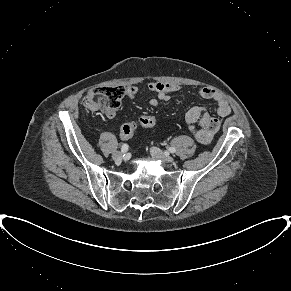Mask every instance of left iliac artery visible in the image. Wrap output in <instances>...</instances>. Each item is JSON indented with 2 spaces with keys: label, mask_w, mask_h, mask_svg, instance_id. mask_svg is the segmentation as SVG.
<instances>
[{
  "label": "left iliac artery",
  "mask_w": 291,
  "mask_h": 291,
  "mask_svg": "<svg viewBox=\"0 0 291 291\" xmlns=\"http://www.w3.org/2000/svg\"><path fill=\"white\" fill-rule=\"evenodd\" d=\"M167 151L170 153H175L176 149L174 147H169V148H167Z\"/></svg>",
  "instance_id": "obj_1"
}]
</instances>
